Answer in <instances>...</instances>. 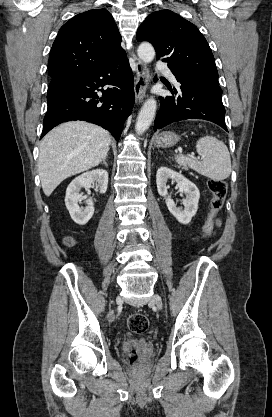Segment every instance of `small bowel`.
I'll list each match as a JSON object with an SVG mask.
<instances>
[{
  "label": "small bowel",
  "mask_w": 272,
  "mask_h": 417,
  "mask_svg": "<svg viewBox=\"0 0 272 417\" xmlns=\"http://www.w3.org/2000/svg\"><path fill=\"white\" fill-rule=\"evenodd\" d=\"M216 224L218 225V224H220V219H217L216 220Z\"/></svg>",
  "instance_id": "c3829d8e"
}]
</instances>
